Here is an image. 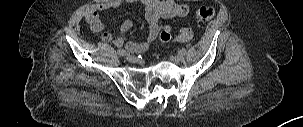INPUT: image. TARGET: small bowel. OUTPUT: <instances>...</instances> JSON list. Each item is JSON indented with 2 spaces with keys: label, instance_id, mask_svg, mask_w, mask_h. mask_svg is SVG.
Listing matches in <instances>:
<instances>
[{
  "label": "small bowel",
  "instance_id": "obj_1",
  "mask_svg": "<svg viewBox=\"0 0 303 127\" xmlns=\"http://www.w3.org/2000/svg\"><path fill=\"white\" fill-rule=\"evenodd\" d=\"M140 2L145 7V18L148 23L147 39L143 42L126 41V35L131 30V20H124L120 25V34L114 38L112 33L104 31V24L100 12L117 8L124 3ZM188 7L174 0H98L89 6L85 12V20L96 32H102L101 39L104 43H113L116 48L123 46L128 52L142 53L149 49L151 43L158 37L162 30H169L168 25L160 23L161 19L184 17L188 14Z\"/></svg>",
  "mask_w": 303,
  "mask_h": 127
}]
</instances>
